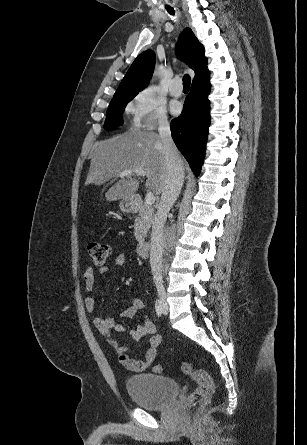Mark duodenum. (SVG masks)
I'll use <instances>...</instances> for the list:
<instances>
[{
	"label": "duodenum",
	"mask_w": 307,
	"mask_h": 445,
	"mask_svg": "<svg viewBox=\"0 0 307 445\" xmlns=\"http://www.w3.org/2000/svg\"><path fill=\"white\" fill-rule=\"evenodd\" d=\"M142 202V199L140 196H134L132 197L130 201V206L132 209L137 208ZM150 250V243L147 241L140 242L137 246V252L141 257H146L149 254Z\"/></svg>",
	"instance_id": "1"
}]
</instances>
